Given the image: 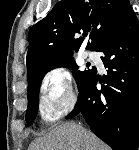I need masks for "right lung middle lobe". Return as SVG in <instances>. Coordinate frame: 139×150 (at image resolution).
Listing matches in <instances>:
<instances>
[{
	"mask_svg": "<svg viewBox=\"0 0 139 150\" xmlns=\"http://www.w3.org/2000/svg\"><path fill=\"white\" fill-rule=\"evenodd\" d=\"M58 67H67L73 69V75L78 86L84 81H86L95 70L94 67L85 71L77 70L78 66L74 62L72 56L52 61L46 64L45 66L41 67L39 70H37L31 77L28 78V108L26 112V122L28 125L33 124V121L36 118L38 112L39 88L44 75L48 71Z\"/></svg>",
	"mask_w": 139,
	"mask_h": 150,
	"instance_id": "obj_1",
	"label": "right lung middle lobe"
}]
</instances>
